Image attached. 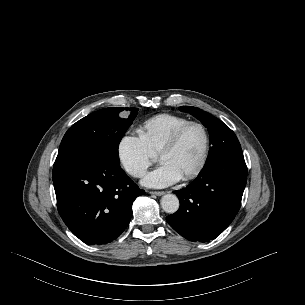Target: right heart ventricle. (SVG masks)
<instances>
[{"label":"right heart ventricle","instance_id":"obj_1","mask_svg":"<svg viewBox=\"0 0 305 305\" xmlns=\"http://www.w3.org/2000/svg\"><path fill=\"white\" fill-rule=\"evenodd\" d=\"M190 122L183 116L160 114L144 121L138 128V134L154 155L181 126Z\"/></svg>","mask_w":305,"mask_h":305}]
</instances>
